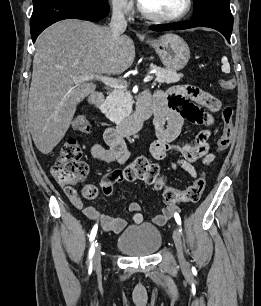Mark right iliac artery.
<instances>
[{"label": "right iliac artery", "mask_w": 261, "mask_h": 306, "mask_svg": "<svg viewBox=\"0 0 261 306\" xmlns=\"http://www.w3.org/2000/svg\"><path fill=\"white\" fill-rule=\"evenodd\" d=\"M97 230H98V224H95L91 230L90 236H89V241L91 243V247L89 249V253H88V263L90 265V268H92V259L95 253V246H97V244L94 245V240L97 234ZM97 242V240L95 241V243Z\"/></svg>", "instance_id": "82829eb1"}]
</instances>
